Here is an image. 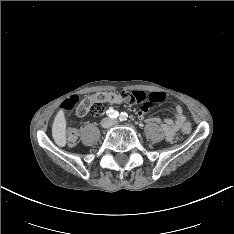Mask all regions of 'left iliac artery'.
I'll return each instance as SVG.
<instances>
[{"label": "left iliac artery", "mask_w": 234, "mask_h": 234, "mask_svg": "<svg viewBox=\"0 0 234 234\" xmlns=\"http://www.w3.org/2000/svg\"><path fill=\"white\" fill-rule=\"evenodd\" d=\"M127 116H128L127 113L121 112L120 117H119L120 121H126Z\"/></svg>", "instance_id": "obj_1"}]
</instances>
